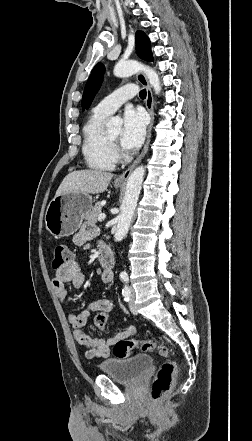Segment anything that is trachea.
Here are the masks:
<instances>
[{"label": "trachea", "instance_id": "trachea-1", "mask_svg": "<svg viewBox=\"0 0 252 441\" xmlns=\"http://www.w3.org/2000/svg\"><path fill=\"white\" fill-rule=\"evenodd\" d=\"M146 94H147V93H146V90H145V89L141 90L140 93H139V95H140L141 98H146Z\"/></svg>", "mask_w": 252, "mask_h": 441}]
</instances>
